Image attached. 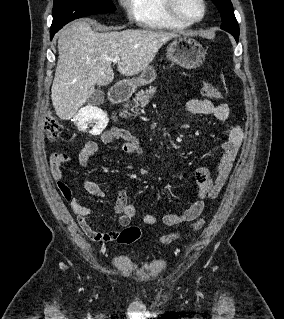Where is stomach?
Listing matches in <instances>:
<instances>
[{"mask_svg": "<svg viewBox=\"0 0 284 319\" xmlns=\"http://www.w3.org/2000/svg\"><path fill=\"white\" fill-rule=\"evenodd\" d=\"M206 52L203 46L190 37L179 36L167 47V58L172 62L186 69H193L200 66L205 60ZM156 73L153 67L149 66L137 78L127 80L126 84L132 91L139 86L154 81Z\"/></svg>", "mask_w": 284, "mask_h": 319, "instance_id": "0dacf381", "label": "stomach"}]
</instances>
